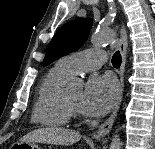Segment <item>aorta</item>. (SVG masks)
Wrapping results in <instances>:
<instances>
[{"label": "aorta", "instance_id": "762f6f07", "mask_svg": "<svg viewBox=\"0 0 155 149\" xmlns=\"http://www.w3.org/2000/svg\"><path fill=\"white\" fill-rule=\"evenodd\" d=\"M91 43L94 46H102L103 44H113L115 43V38L112 31L104 30L102 32L93 35L91 37ZM109 149H121V141L118 134L113 135Z\"/></svg>", "mask_w": 155, "mask_h": 149}]
</instances>
